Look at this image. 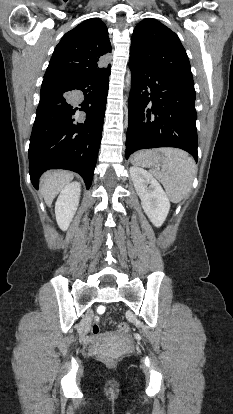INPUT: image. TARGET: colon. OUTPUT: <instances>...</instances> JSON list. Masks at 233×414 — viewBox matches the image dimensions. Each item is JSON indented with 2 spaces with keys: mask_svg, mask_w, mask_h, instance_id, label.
I'll list each match as a JSON object with an SVG mask.
<instances>
[{
  "mask_svg": "<svg viewBox=\"0 0 233 414\" xmlns=\"http://www.w3.org/2000/svg\"><path fill=\"white\" fill-rule=\"evenodd\" d=\"M118 329L122 333H127L130 330V326H129L128 323L122 322V323L119 324ZM99 331H100V329H99L98 324H94L92 326V333L96 335V334L99 333ZM105 359L107 360V358H105Z\"/></svg>",
  "mask_w": 233,
  "mask_h": 414,
  "instance_id": "5ec220e1",
  "label": "colon"
}]
</instances>
